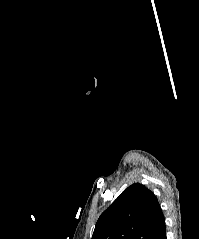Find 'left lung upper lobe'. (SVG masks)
Wrapping results in <instances>:
<instances>
[{"label":"left lung upper lobe","instance_id":"obj_1","mask_svg":"<svg viewBox=\"0 0 199 239\" xmlns=\"http://www.w3.org/2000/svg\"><path fill=\"white\" fill-rule=\"evenodd\" d=\"M162 216L153 192L134 183L101 214L92 239H150Z\"/></svg>","mask_w":199,"mask_h":239}]
</instances>
